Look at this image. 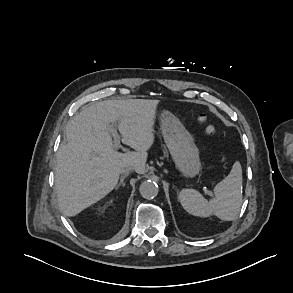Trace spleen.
I'll list each match as a JSON object with an SVG mask.
<instances>
[{
	"instance_id": "spleen-1",
	"label": "spleen",
	"mask_w": 293,
	"mask_h": 293,
	"mask_svg": "<svg viewBox=\"0 0 293 293\" xmlns=\"http://www.w3.org/2000/svg\"><path fill=\"white\" fill-rule=\"evenodd\" d=\"M215 197L207 201L194 189L179 193L182 207L191 215L208 217L215 215L223 221H233L242 205V167L235 162L228 176L214 187Z\"/></svg>"
}]
</instances>
